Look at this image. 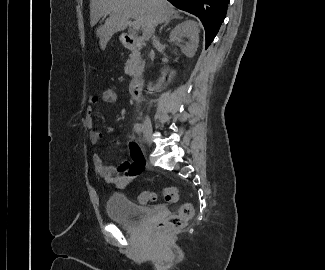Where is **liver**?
Wrapping results in <instances>:
<instances>
[{
  "instance_id": "liver-1",
  "label": "liver",
  "mask_w": 325,
  "mask_h": 270,
  "mask_svg": "<svg viewBox=\"0 0 325 270\" xmlns=\"http://www.w3.org/2000/svg\"><path fill=\"white\" fill-rule=\"evenodd\" d=\"M106 13H111L104 25L96 29L101 48L110 38L123 31L128 25V16L138 21L143 38L148 40L156 25L175 14L174 7L167 0H91L90 23L94 26Z\"/></svg>"
}]
</instances>
